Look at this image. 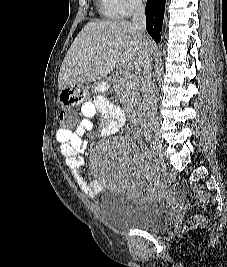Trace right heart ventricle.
I'll list each match as a JSON object with an SVG mask.
<instances>
[{
  "label": "right heart ventricle",
  "instance_id": "obj_1",
  "mask_svg": "<svg viewBox=\"0 0 227 267\" xmlns=\"http://www.w3.org/2000/svg\"><path fill=\"white\" fill-rule=\"evenodd\" d=\"M98 8L101 15L105 18L116 19L121 16V13L113 0H98Z\"/></svg>",
  "mask_w": 227,
  "mask_h": 267
}]
</instances>
